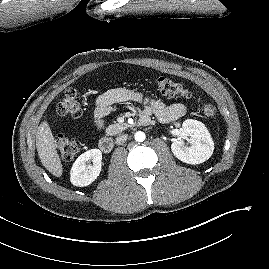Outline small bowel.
<instances>
[{
  "mask_svg": "<svg viewBox=\"0 0 269 269\" xmlns=\"http://www.w3.org/2000/svg\"><path fill=\"white\" fill-rule=\"evenodd\" d=\"M127 101L143 104L140 121L148 120L150 122L151 117L154 116L160 122L166 123L178 120L186 113V107L182 103L165 105L160 101L143 96L139 92L123 88L112 89L101 94L96 100L94 121L97 128L103 126L106 116L113 110L116 104Z\"/></svg>",
  "mask_w": 269,
  "mask_h": 269,
  "instance_id": "1",
  "label": "small bowel"
}]
</instances>
